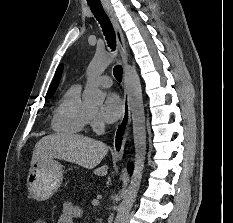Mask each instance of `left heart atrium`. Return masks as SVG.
Masks as SVG:
<instances>
[{"mask_svg": "<svg viewBox=\"0 0 233 223\" xmlns=\"http://www.w3.org/2000/svg\"><path fill=\"white\" fill-rule=\"evenodd\" d=\"M101 116L108 123L116 122L123 113V102L121 98L111 93L106 98L102 108H101Z\"/></svg>", "mask_w": 233, "mask_h": 223, "instance_id": "obj_1", "label": "left heart atrium"}]
</instances>
